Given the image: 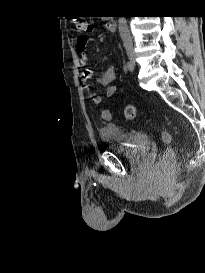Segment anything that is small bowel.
I'll return each mask as SVG.
<instances>
[{
	"instance_id": "small-bowel-1",
	"label": "small bowel",
	"mask_w": 205,
	"mask_h": 273,
	"mask_svg": "<svg viewBox=\"0 0 205 273\" xmlns=\"http://www.w3.org/2000/svg\"><path fill=\"white\" fill-rule=\"evenodd\" d=\"M89 43H95V40L92 38H87L86 36H78L76 38L75 49L79 54V57H78V66L79 67H83L87 63L88 56L86 53V48ZM80 78H81L82 82L85 84L90 82L91 79L93 78L92 70L87 69V70L83 71L80 75ZM114 79H115V68H114V66H109L107 68L105 74L103 75V77L100 79V82L103 85H108L107 90H106L107 97H112L117 93V90H118L117 87L114 85H110V83ZM91 100H92L93 105H95V106H100L103 102L102 97L95 92L91 93ZM103 111H102V117H103ZM110 115H111V113H110ZM111 118H112V116L107 121L111 120ZM103 119H104V117H103Z\"/></svg>"
}]
</instances>
